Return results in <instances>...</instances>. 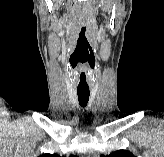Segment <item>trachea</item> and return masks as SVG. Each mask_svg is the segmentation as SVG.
<instances>
[{"label": "trachea", "instance_id": "obj_1", "mask_svg": "<svg viewBox=\"0 0 164 157\" xmlns=\"http://www.w3.org/2000/svg\"><path fill=\"white\" fill-rule=\"evenodd\" d=\"M77 94H78V101L81 107H85L88 103L89 100V89H85V90H77Z\"/></svg>", "mask_w": 164, "mask_h": 157}]
</instances>
